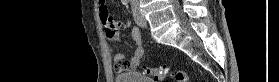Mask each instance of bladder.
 <instances>
[{
  "mask_svg": "<svg viewBox=\"0 0 279 82\" xmlns=\"http://www.w3.org/2000/svg\"><path fill=\"white\" fill-rule=\"evenodd\" d=\"M114 79L116 82H155L148 79L145 74L140 72L119 73Z\"/></svg>",
  "mask_w": 279,
  "mask_h": 82,
  "instance_id": "31cf9c89",
  "label": "bladder"
}]
</instances>
